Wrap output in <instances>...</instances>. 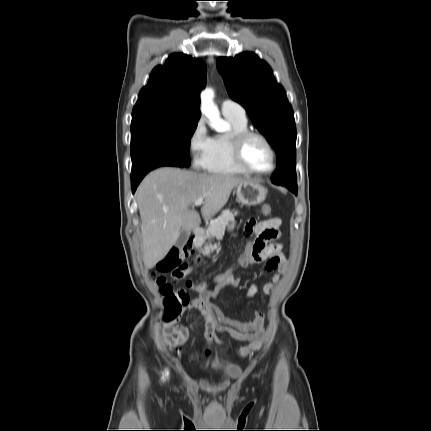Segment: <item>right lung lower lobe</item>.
I'll use <instances>...</instances> for the list:
<instances>
[{
  "label": "right lung lower lobe",
  "instance_id": "right-lung-lower-lobe-1",
  "mask_svg": "<svg viewBox=\"0 0 431 431\" xmlns=\"http://www.w3.org/2000/svg\"><path fill=\"white\" fill-rule=\"evenodd\" d=\"M161 166L186 167L180 160L171 155L159 151L151 152L144 158L132 163V192H135L137 186L149 171Z\"/></svg>",
  "mask_w": 431,
  "mask_h": 431
}]
</instances>
